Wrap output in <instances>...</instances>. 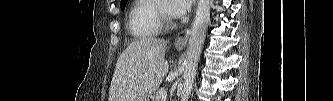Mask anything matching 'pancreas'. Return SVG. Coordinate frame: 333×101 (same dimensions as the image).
Masks as SVG:
<instances>
[{
	"label": "pancreas",
	"mask_w": 333,
	"mask_h": 101,
	"mask_svg": "<svg viewBox=\"0 0 333 101\" xmlns=\"http://www.w3.org/2000/svg\"><path fill=\"white\" fill-rule=\"evenodd\" d=\"M154 101H162L160 91L156 92V95L154 96Z\"/></svg>",
	"instance_id": "cf45deb5"
}]
</instances>
